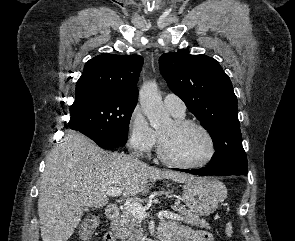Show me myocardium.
I'll list each match as a JSON object with an SVG mask.
<instances>
[{"label": "myocardium", "mask_w": 295, "mask_h": 241, "mask_svg": "<svg viewBox=\"0 0 295 241\" xmlns=\"http://www.w3.org/2000/svg\"><path fill=\"white\" fill-rule=\"evenodd\" d=\"M173 123L179 129H183V128H187V127H194L196 129H198L199 131H201L208 140L209 153L206 156V158L200 162L183 163V162L177 161V160L171 158L167 154L166 149H165L164 140H163L162 136L159 134V137H158V157L160 158V160L168 165H171V166H174L177 168H181V169H187V170H194V169L203 168V167L207 166L208 164H210L213 161V159L215 158L216 153H217V144H216V141H215L212 133L204 125H202L199 122L193 121V120L175 119L173 121Z\"/></svg>", "instance_id": "1"}]
</instances>
